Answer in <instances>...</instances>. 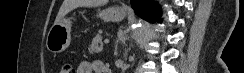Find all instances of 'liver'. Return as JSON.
<instances>
[{
    "label": "liver",
    "instance_id": "6515ba94",
    "mask_svg": "<svg viewBox=\"0 0 244 73\" xmlns=\"http://www.w3.org/2000/svg\"><path fill=\"white\" fill-rule=\"evenodd\" d=\"M106 2V0H64L55 19V23L61 21L67 13L77 7H96Z\"/></svg>",
    "mask_w": 244,
    "mask_h": 73
}]
</instances>
